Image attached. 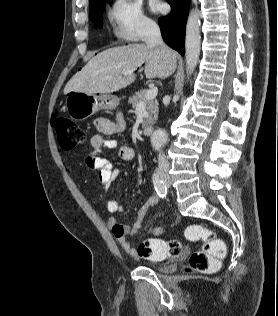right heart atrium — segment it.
<instances>
[{
	"label": "right heart atrium",
	"instance_id": "right-heart-atrium-1",
	"mask_svg": "<svg viewBox=\"0 0 278 316\" xmlns=\"http://www.w3.org/2000/svg\"><path fill=\"white\" fill-rule=\"evenodd\" d=\"M107 16L114 37L123 42L138 41L156 27L137 0H113Z\"/></svg>",
	"mask_w": 278,
	"mask_h": 316
}]
</instances>
